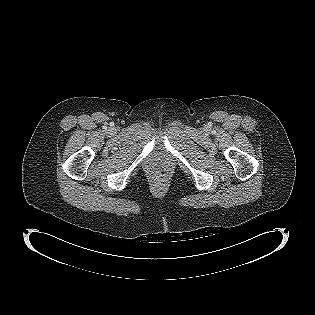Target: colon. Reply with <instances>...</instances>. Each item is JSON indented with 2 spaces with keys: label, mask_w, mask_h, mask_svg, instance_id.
I'll use <instances>...</instances> for the list:
<instances>
[{
  "label": "colon",
  "mask_w": 315,
  "mask_h": 315,
  "mask_svg": "<svg viewBox=\"0 0 315 315\" xmlns=\"http://www.w3.org/2000/svg\"><path fill=\"white\" fill-rule=\"evenodd\" d=\"M154 177L158 181H166L168 178V172L166 170H158L155 172Z\"/></svg>",
  "instance_id": "1"
}]
</instances>
